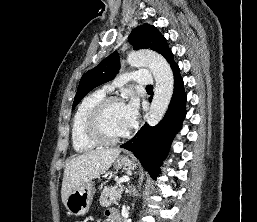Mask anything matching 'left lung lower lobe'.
Segmentation results:
<instances>
[{"instance_id": "obj_1", "label": "left lung lower lobe", "mask_w": 257, "mask_h": 222, "mask_svg": "<svg viewBox=\"0 0 257 222\" xmlns=\"http://www.w3.org/2000/svg\"><path fill=\"white\" fill-rule=\"evenodd\" d=\"M170 66L174 72V92L163 120L154 127L145 124L131 140L120 146L131 151L154 179L158 176L159 166L168 153L174 135L181 129L186 115L183 79L174 61Z\"/></svg>"}]
</instances>
